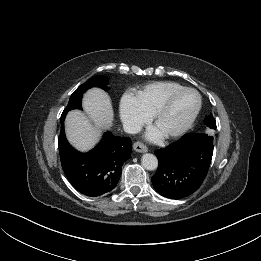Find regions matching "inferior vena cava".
Wrapping results in <instances>:
<instances>
[{
    "label": "inferior vena cava",
    "instance_id": "inferior-vena-cava-1",
    "mask_svg": "<svg viewBox=\"0 0 261 261\" xmlns=\"http://www.w3.org/2000/svg\"><path fill=\"white\" fill-rule=\"evenodd\" d=\"M123 129L126 133L136 134L141 130V126L133 122H125L123 124Z\"/></svg>",
    "mask_w": 261,
    "mask_h": 261
}]
</instances>
